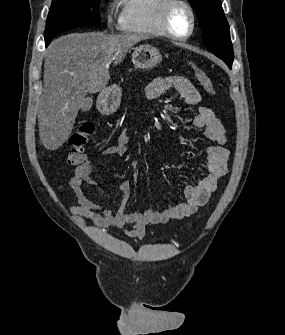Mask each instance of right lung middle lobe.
<instances>
[{
  "label": "right lung middle lobe",
  "instance_id": "dd1d6c3e",
  "mask_svg": "<svg viewBox=\"0 0 285 335\" xmlns=\"http://www.w3.org/2000/svg\"><path fill=\"white\" fill-rule=\"evenodd\" d=\"M100 1L52 0L45 28L46 44L66 30L100 23L98 11Z\"/></svg>",
  "mask_w": 285,
  "mask_h": 335
}]
</instances>
